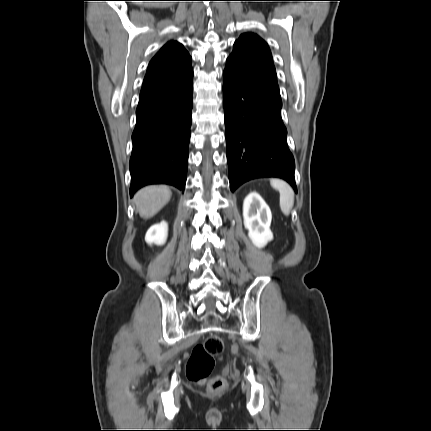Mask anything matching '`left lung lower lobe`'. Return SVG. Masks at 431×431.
Here are the masks:
<instances>
[{"instance_id":"1","label":"left lung lower lobe","mask_w":431,"mask_h":431,"mask_svg":"<svg viewBox=\"0 0 431 431\" xmlns=\"http://www.w3.org/2000/svg\"><path fill=\"white\" fill-rule=\"evenodd\" d=\"M230 189L255 178L279 177L297 191L294 158L281 118L278 86L235 68L223 72Z\"/></svg>"}]
</instances>
